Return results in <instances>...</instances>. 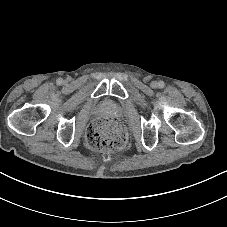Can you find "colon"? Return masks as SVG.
Here are the masks:
<instances>
[{
    "instance_id": "5ec220e1",
    "label": "colon",
    "mask_w": 227,
    "mask_h": 227,
    "mask_svg": "<svg viewBox=\"0 0 227 227\" xmlns=\"http://www.w3.org/2000/svg\"><path fill=\"white\" fill-rule=\"evenodd\" d=\"M127 139L126 130L117 121L101 118L91 124L86 132L87 145L96 151L121 150Z\"/></svg>"
}]
</instances>
